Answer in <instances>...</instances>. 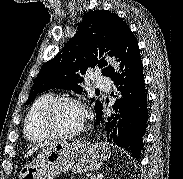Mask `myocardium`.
<instances>
[{
  "mask_svg": "<svg viewBox=\"0 0 183 179\" xmlns=\"http://www.w3.org/2000/svg\"><path fill=\"white\" fill-rule=\"evenodd\" d=\"M63 103L75 104L76 106H78L81 109V111L83 113V120H82L80 126L76 130H74L70 133L56 132L51 127V124H50V120H51V116H52L53 112L59 105H61ZM88 121H89L88 111H87L84 103L80 99L72 97V96H57V97L53 98L43 109L41 116H40V127H41L42 131L50 138L71 139V138L78 136L80 133H82V131L85 129L86 125L88 124Z\"/></svg>",
  "mask_w": 183,
  "mask_h": 179,
  "instance_id": "1",
  "label": "myocardium"
}]
</instances>
